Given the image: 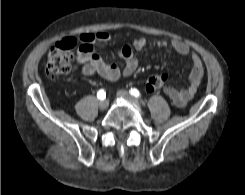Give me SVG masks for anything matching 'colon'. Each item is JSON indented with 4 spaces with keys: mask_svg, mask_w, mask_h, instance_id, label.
Listing matches in <instances>:
<instances>
[{
    "mask_svg": "<svg viewBox=\"0 0 245 195\" xmlns=\"http://www.w3.org/2000/svg\"><path fill=\"white\" fill-rule=\"evenodd\" d=\"M76 41L72 38H66L56 43L49 52V59L46 67V73L51 78H63L70 73L74 66L75 54L74 48ZM167 81V75L153 73L146 80V90L156 92L162 89Z\"/></svg>",
    "mask_w": 245,
    "mask_h": 195,
    "instance_id": "5ec220e1",
    "label": "colon"
}]
</instances>
